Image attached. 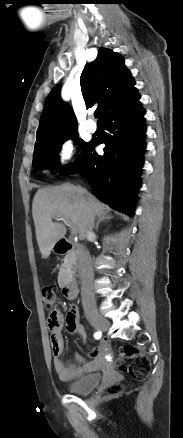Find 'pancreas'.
Listing matches in <instances>:
<instances>
[{"label":"pancreas","instance_id":"pancreas-1","mask_svg":"<svg viewBox=\"0 0 183 438\" xmlns=\"http://www.w3.org/2000/svg\"><path fill=\"white\" fill-rule=\"evenodd\" d=\"M74 261H75V258H73V256L71 254L66 255V257L64 258V263L62 264V266L60 268L59 277H58L59 283L63 282L64 275H65L67 269L72 266Z\"/></svg>","mask_w":183,"mask_h":438}]
</instances>
